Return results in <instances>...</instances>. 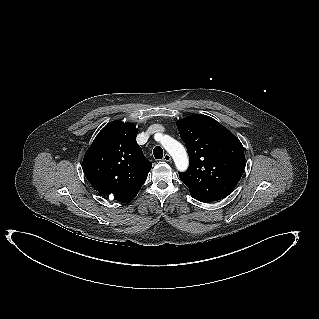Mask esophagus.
<instances>
[{"mask_svg": "<svg viewBox=\"0 0 319 319\" xmlns=\"http://www.w3.org/2000/svg\"><path fill=\"white\" fill-rule=\"evenodd\" d=\"M163 160L166 161V162L171 161V156H170V154L166 153V154L163 156Z\"/></svg>", "mask_w": 319, "mask_h": 319, "instance_id": "obj_1", "label": "esophagus"}]
</instances>
